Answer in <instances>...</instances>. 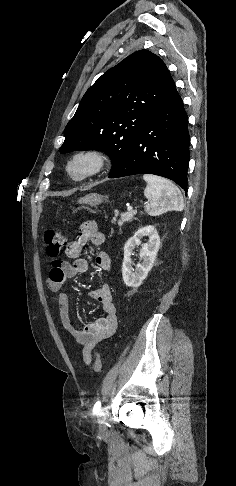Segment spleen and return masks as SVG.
I'll return each mask as SVG.
<instances>
[{
	"label": "spleen",
	"mask_w": 236,
	"mask_h": 486,
	"mask_svg": "<svg viewBox=\"0 0 236 486\" xmlns=\"http://www.w3.org/2000/svg\"><path fill=\"white\" fill-rule=\"evenodd\" d=\"M143 179L147 183L144 195L149 200L145 205V211L149 215L184 209L181 191L171 181L152 174H145Z\"/></svg>",
	"instance_id": "1"
}]
</instances>
